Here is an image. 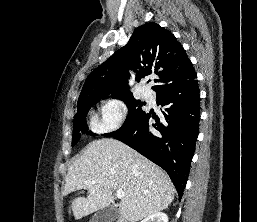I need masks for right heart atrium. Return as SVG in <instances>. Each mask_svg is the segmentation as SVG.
Here are the masks:
<instances>
[{
	"label": "right heart atrium",
	"instance_id": "right-heart-atrium-1",
	"mask_svg": "<svg viewBox=\"0 0 257 222\" xmlns=\"http://www.w3.org/2000/svg\"><path fill=\"white\" fill-rule=\"evenodd\" d=\"M106 106H110L118 115V121L113 124H106L104 121L95 123V131L101 132H109L118 129L126 120L128 114V108L126 104L119 100L113 99L106 103Z\"/></svg>",
	"mask_w": 257,
	"mask_h": 222
}]
</instances>
